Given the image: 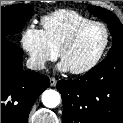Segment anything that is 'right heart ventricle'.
<instances>
[{"label":"right heart ventricle","mask_w":123,"mask_h":123,"mask_svg":"<svg viewBox=\"0 0 123 123\" xmlns=\"http://www.w3.org/2000/svg\"><path fill=\"white\" fill-rule=\"evenodd\" d=\"M92 21L90 18L68 9H59L41 18L42 31L53 50L61 46L81 25Z\"/></svg>","instance_id":"obj_1"}]
</instances>
